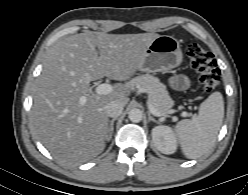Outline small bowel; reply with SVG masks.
I'll use <instances>...</instances> for the list:
<instances>
[{
    "label": "small bowel",
    "instance_id": "1",
    "mask_svg": "<svg viewBox=\"0 0 248 195\" xmlns=\"http://www.w3.org/2000/svg\"><path fill=\"white\" fill-rule=\"evenodd\" d=\"M173 82L177 88H184L187 85V78L184 76H176L174 77Z\"/></svg>",
    "mask_w": 248,
    "mask_h": 195
}]
</instances>
